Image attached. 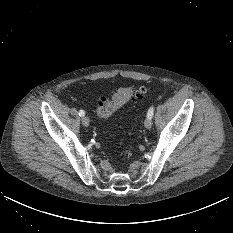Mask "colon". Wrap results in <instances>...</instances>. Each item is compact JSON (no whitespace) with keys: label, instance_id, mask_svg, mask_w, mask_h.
Instances as JSON below:
<instances>
[{"label":"colon","instance_id":"obj_1","mask_svg":"<svg viewBox=\"0 0 233 233\" xmlns=\"http://www.w3.org/2000/svg\"><path fill=\"white\" fill-rule=\"evenodd\" d=\"M148 90L144 86L119 88L112 97H101L97 104V115L101 120L108 119L115 111L133 98L146 97Z\"/></svg>","mask_w":233,"mask_h":233}]
</instances>
